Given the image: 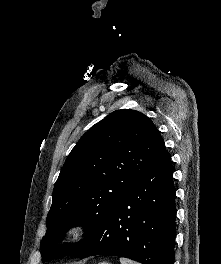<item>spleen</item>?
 Returning <instances> with one entry per match:
<instances>
[{
    "label": "spleen",
    "mask_w": 221,
    "mask_h": 264,
    "mask_svg": "<svg viewBox=\"0 0 221 264\" xmlns=\"http://www.w3.org/2000/svg\"><path fill=\"white\" fill-rule=\"evenodd\" d=\"M120 263L121 264H139L137 262H134V261L126 259V258H120Z\"/></svg>",
    "instance_id": "3e777b00"
}]
</instances>
